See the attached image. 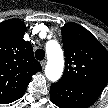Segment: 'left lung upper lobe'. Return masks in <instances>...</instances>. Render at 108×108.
I'll return each mask as SVG.
<instances>
[{
	"instance_id": "obj_1",
	"label": "left lung upper lobe",
	"mask_w": 108,
	"mask_h": 108,
	"mask_svg": "<svg viewBox=\"0 0 108 108\" xmlns=\"http://www.w3.org/2000/svg\"><path fill=\"white\" fill-rule=\"evenodd\" d=\"M61 32L66 57L61 79L105 87L108 83L107 50L79 24H65Z\"/></svg>"
}]
</instances>
